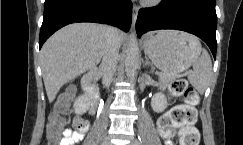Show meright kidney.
<instances>
[{"label":"right kidney","instance_id":"1","mask_svg":"<svg viewBox=\"0 0 243 145\" xmlns=\"http://www.w3.org/2000/svg\"><path fill=\"white\" fill-rule=\"evenodd\" d=\"M74 110L76 114H84L88 110L89 101L86 95L79 96L74 102Z\"/></svg>","mask_w":243,"mask_h":145}]
</instances>
